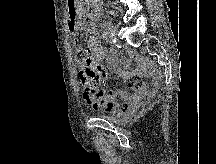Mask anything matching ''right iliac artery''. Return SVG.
Wrapping results in <instances>:
<instances>
[{
  "instance_id": "82829eb1",
  "label": "right iliac artery",
  "mask_w": 216,
  "mask_h": 164,
  "mask_svg": "<svg viewBox=\"0 0 216 164\" xmlns=\"http://www.w3.org/2000/svg\"><path fill=\"white\" fill-rule=\"evenodd\" d=\"M102 37H103V39H105L107 42H109L111 44L113 42H115L114 39L112 38V36L108 32H103Z\"/></svg>"
}]
</instances>
